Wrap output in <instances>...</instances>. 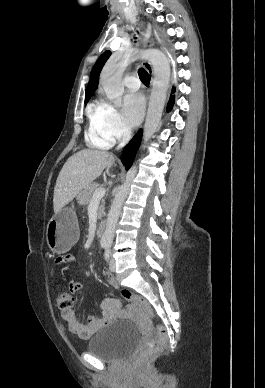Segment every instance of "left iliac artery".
<instances>
[{
	"label": "left iliac artery",
	"instance_id": "1",
	"mask_svg": "<svg viewBox=\"0 0 265 388\" xmlns=\"http://www.w3.org/2000/svg\"><path fill=\"white\" fill-rule=\"evenodd\" d=\"M109 254H110L109 249H107V250L105 251V259H106V260L109 259Z\"/></svg>",
	"mask_w": 265,
	"mask_h": 388
}]
</instances>
